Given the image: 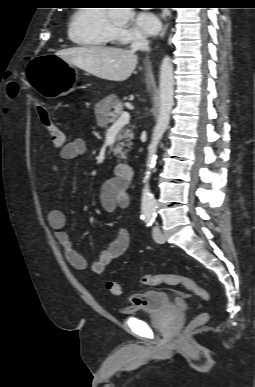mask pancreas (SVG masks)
<instances>
[{"mask_svg": "<svg viewBox=\"0 0 255 387\" xmlns=\"http://www.w3.org/2000/svg\"><path fill=\"white\" fill-rule=\"evenodd\" d=\"M102 107V108H101ZM101 108V115L99 116L103 126H107L108 123H115L116 120L123 113V104L118 100L115 95H110L103 99L98 105L97 109ZM113 109V110H112ZM133 139L132 129H122L117 135V144L113 149L114 155L120 159H125L128 150L125 147H130L131 140Z\"/></svg>", "mask_w": 255, "mask_h": 387, "instance_id": "cf45deb5", "label": "pancreas"}]
</instances>
